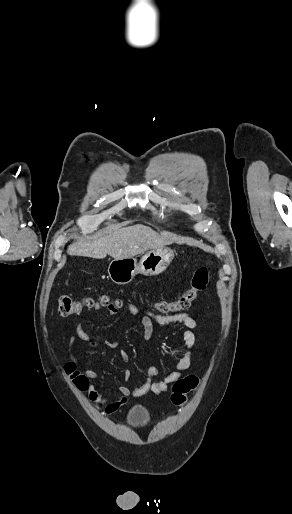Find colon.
Returning a JSON list of instances; mask_svg holds the SVG:
<instances>
[{
	"label": "colon",
	"instance_id": "5ec220e1",
	"mask_svg": "<svg viewBox=\"0 0 292 514\" xmlns=\"http://www.w3.org/2000/svg\"><path fill=\"white\" fill-rule=\"evenodd\" d=\"M210 277L209 267L198 268L191 279L190 287L187 291L180 295V297L173 301L162 300L156 303V309L161 313L169 312H182L188 310L197 297L206 289ZM59 313L64 317L75 316L89 308L92 303L77 300L69 295H61L59 297ZM108 299L106 297L100 300V305L103 307L118 309L121 305L119 301L112 303L108 306ZM65 372L70 376L72 382L78 389L85 390L87 388L86 376L79 373L76 365L73 362L65 364ZM200 379L198 373H184L182 379L177 380L173 384V398L172 401L176 404H185L187 400L183 396L185 393L189 395Z\"/></svg>",
	"mask_w": 292,
	"mask_h": 514
}]
</instances>
